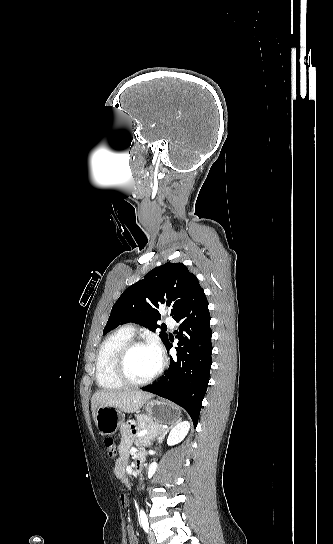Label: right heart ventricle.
Listing matches in <instances>:
<instances>
[{
	"label": "right heart ventricle",
	"instance_id": "right-heart-ventricle-1",
	"mask_svg": "<svg viewBox=\"0 0 333 544\" xmlns=\"http://www.w3.org/2000/svg\"><path fill=\"white\" fill-rule=\"evenodd\" d=\"M132 337V333L125 328H120L108 335L101 343L95 364V379L101 389L118 390L125 386L117 378L114 364L118 351Z\"/></svg>",
	"mask_w": 333,
	"mask_h": 544
}]
</instances>
